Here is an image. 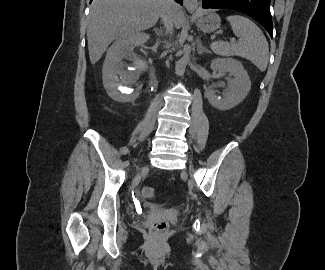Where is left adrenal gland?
<instances>
[{
	"instance_id": "left-adrenal-gland-1",
	"label": "left adrenal gland",
	"mask_w": 325,
	"mask_h": 270,
	"mask_svg": "<svg viewBox=\"0 0 325 270\" xmlns=\"http://www.w3.org/2000/svg\"><path fill=\"white\" fill-rule=\"evenodd\" d=\"M197 52H198L199 55L203 54L204 52L209 53V50L206 49V47H203L202 42H201L200 39H198V41H197Z\"/></svg>"
}]
</instances>
